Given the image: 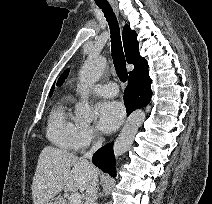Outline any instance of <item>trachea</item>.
<instances>
[{
	"mask_svg": "<svg viewBox=\"0 0 212 204\" xmlns=\"http://www.w3.org/2000/svg\"><path fill=\"white\" fill-rule=\"evenodd\" d=\"M103 11L111 31V52L115 70L122 82L127 80L126 61L123 53L121 36L117 19L109 5H98Z\"/></svg>",
	"mask_w": 212,
	"mask_h": 204,
	"instance_id": "obj_1",
	"label": "trachea"
}]
</instances>
